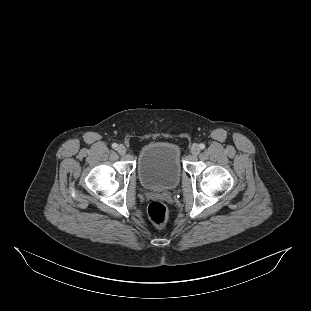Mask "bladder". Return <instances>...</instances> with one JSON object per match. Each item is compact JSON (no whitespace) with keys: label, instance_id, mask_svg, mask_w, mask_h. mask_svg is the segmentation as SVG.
Instances as JSON below:
<instances>
[{"label":"bladder","instance_id":"1","mask_svg":"<svg viewBox=\"0 0 311 311\" xmlns=\"http://www.w3.org/2000/svg\"><path fill=\"white\" fill-rule=\"evenodd\" d=\"M141 185L148 190L174 189L182 174L179 146L172 141H153L140 151L137 164Z\"/></svg>","mask_w":311,"mask_h":311}]
</instances>
